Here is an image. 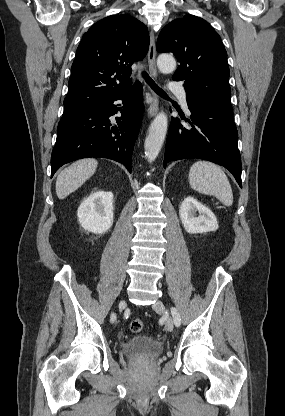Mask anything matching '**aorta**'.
Segmentation results:
<instances>
[{
    "label": "aorta",
    "instance_id": "aorta-1",
    "mask_svg": "<svg viewBox=\"0 0 285 416\" xmlns=\"http://www.w3.org/2000/svg\"><path fill=\"white\" fill-rule=\"evenodd\" d=\"M157 66L162 73H171L176 68V61L173 56L162 54L157 59ZM167 127V116L161 112L152 121L145 139L144 149L148 162L152 163L157 158L166 137Z\"/></svg>",
    "mask_w": 285,
    "mask_h": 416
}]
</instances>
